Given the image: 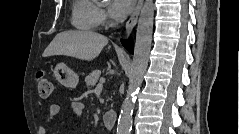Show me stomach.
<instances>
[{"label": "stomach", "mask_w": 239, "mask_h": 134, "mask_svg": "<svg viewBox=\"0 0 239 134\" xmlns=\"http://www.w3.org/2000/svg\"><path fill=\"white\" fill-rule=\"evenodd\" d=\"M54 76L61 84L67 87H76L79 82V76L64 63L56 65Z\"/></svg>", "instance_id": "1"}]
</instances>
